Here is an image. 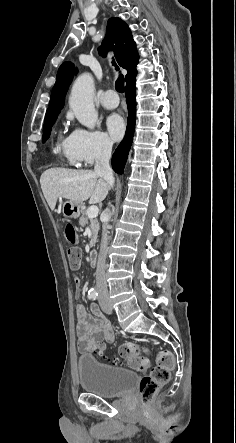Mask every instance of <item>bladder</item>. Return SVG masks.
Masks as SVG:
<instances>
[{"mask_svg": "<svg viewBox=\"0 0 236 443\" xmlns=\"http://www.w3.org/2000/svg\"><path fill=\"white\" fill-rule=\"evenodd\" d=\"M77 368L84 392L102 398L123 396L133 389L137 380L135 372L99 363L90 355L79 357Z\"/></svg>", "mask_w": 236, "mask_h": 443, "instance_id": "obj_1", "label": "bladder"}]
</instances>
